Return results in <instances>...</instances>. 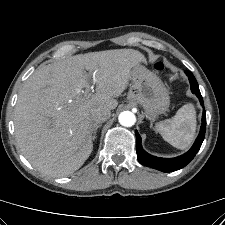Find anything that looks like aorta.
<instances>
[{
  "instance_id": "obj_1",
  "label": "aorta",
  "mask_w": 225,
  "mask_h": 225,
  "mask_svg": "<svg viewBox=\"0 0 225 225\" xmlns=\"http://www.w3.org/2000/svg\"><path fill=\"white\" fill-rule=\"evenodd\" d=\"M119 123L124 127H131L136 122V117L131 111H123L118 117Z\"/></svg>"
}]
</instances>
